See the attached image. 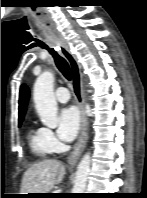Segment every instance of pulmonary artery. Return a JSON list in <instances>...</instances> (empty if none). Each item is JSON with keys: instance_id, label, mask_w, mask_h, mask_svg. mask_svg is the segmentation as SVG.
<instances>
[{"instance_id": "e3ab8cb5", "label": "pulmonary artery", "mask_w": 147, "mask_h": 198, "mask_svg": "<svg viewBox=\"0 0 147 198\" xmlns=\"http://www.w3.org/2000/svg\"><path fill=\"white\" fill-rule=\"evenodd\" d=\"M55 98L60 103H66L70 99V93L67 88L59 87L55 91Z\"/></svg>"}]
</instances>
